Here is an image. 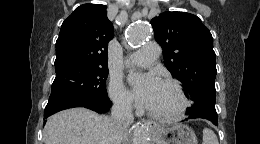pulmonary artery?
Masks as SVG:
<instances>
[{
    "label": "pulmonary artery",
    "mask_w": 260,
    "mask_h": 144,
    "mask_svg": "<svg viewBox=\"0 0 260 144\" xmlns=\"http://www.w3.org/2000/svg\"><path fill=\"white\" fill-rule=\"evenodd\" d=\"M160 54V48L155 43L144 45L131 55V61L140 67H147L155 62Z\"/></svg>",
    "instance_id": "e3ab8cb5"
}]
</instances>
